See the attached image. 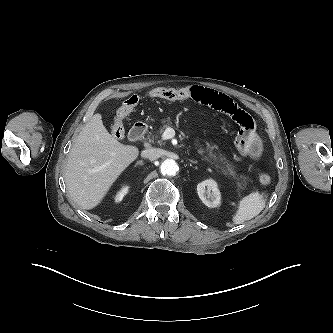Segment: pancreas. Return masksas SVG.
Segmentation results:
<instances>
[{
  "label": "pancreas",
  "mask_w": 333,
  "mask_h": 333,
  "mask_svg": "<svg viewBox=\"0 0 333 333\" xmlns=\"http://www.w3.org/2000/svg\"><path fill=\"white\" fill-rule=\"evenodd\" d=\"M170 126V121H164L163 126L160 128V130L156 133L153 134L152 132H149L147 135V139L149 142H153L154 138L157 137L158 133H162L164 129ZM206 148L199 147L198 153L204 156V159L207 161H213V164L217 169H220V171L224 175H232L236 179H241L242 177H238L235 170L234 166L229 163V161L220 155H217L214 153V146L210 145L209 143L206 144ZM237 187L238 190L244 189L245 187V181L237 182Z\"/></svg>",
  "instance_id": "obj_1"
}]
</instances>
